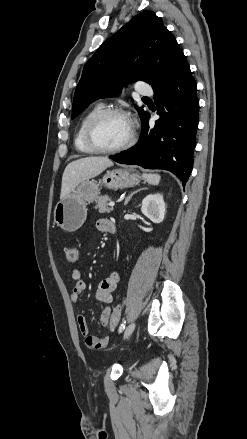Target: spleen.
I'll return each mask as SVG.
<instances>
[{"label": "spleen", "instance_id": "spleen-1", "mask_svg": "<svg viewBox=\"0 0 247 439\" xmlns=\"http://www.w3.org/2000/svg\"><path fill=\"white\" fill-rule=\"evenodd\" d=\"M142 176H143L145 181H147L148 183H150L152 185H158L160 182V179H161L160 175H158V174L144 173Z\"/></svg>", "mask_w": 247, "mask_h": 439}]
</instances>
